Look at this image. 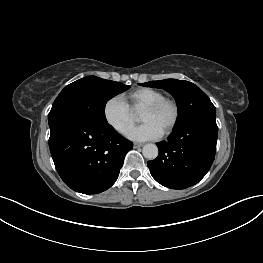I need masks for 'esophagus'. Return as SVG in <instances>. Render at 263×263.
<instances>
[{
    "label": "esophagus",
    "instance_id": "esophagus-1",
    "mask_svg": "<svg viewBox=\"0 0 263 263\" xmlns=\"http://www.w3.org/2000/svg\"><path fill=\"white\" fill-rule=\"evenodd\" d=\"M143 146V144H141V143H134L133 144V147L134 148H140V147H142Z\"/></svg>",
    "mask_w": 263,
    "mask_h": 263
}]
</instances>
